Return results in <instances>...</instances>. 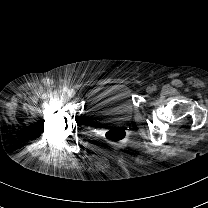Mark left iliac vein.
Returning a JSON list of instances; mask_svg holds the SVG:
<instances>
[{"label":"left iliac vein","instance_id":"left-iliac-vein-1","mask_svg":"<svg viewBox=\"0 0 208 208\" xmlns=\"http://www.w3.org/2000/svg\"><path fill=\"white\" fill-rule=\"evenodd\" d=\"M146 91L148 93H152L154 91V89H153V87L149 86V87H147Z\"/></svg>","mask_w":208,"mask_h":208}]
</instances>
